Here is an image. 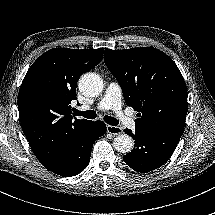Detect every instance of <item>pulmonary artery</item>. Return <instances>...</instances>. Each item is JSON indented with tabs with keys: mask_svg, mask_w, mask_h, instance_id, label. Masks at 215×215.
I'll use <instances>...</instances> for the list:
<instances>
[{
	"mask_svg": "<svg viewBox=\"0 0 215 215\" xmlns=\"http://www.w3.org/2000/svg\"><path fill=\"white\" fill-rule=\"evenodd\" d=\"M80 111H86L89 107L81 106L78 108ZM98 109L107 110L113 109L118 115V124L122 128H129L134 126L135 115L133 112H127L122 114V102H121V91L117 84L111 83L105 90L104 96L101 99Z\"/></svg>",
	"mask_w": 215,
	"mask_h": 215,
	"instance_id": "e3ab8cb5",
	"label": "pulmonary artery"
}]
</instances>
